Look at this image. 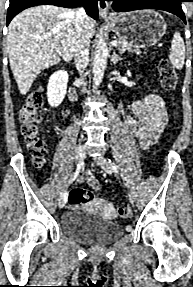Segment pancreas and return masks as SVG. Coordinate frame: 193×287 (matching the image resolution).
I'll return each instance as SVG.
<instances>
[{
    "label": "pancreas",
    "instance_id": "obj_1",
    "mask_svg": "<svg viewBox=\"0 0 193 287\" xmlns=\"http://www.w3.org/2000/svg\"><path fill=\"white\" fill-rule=\"evenodd\" d=\"M116 41L118 43L116 48L120 53H124L125 51H129V52H134L136 54H141V51L139 49H135L129 43H127L124 39H117Z\"/></svg>",
    "mask_w": 193,
    "mask_h": 287
}]
</instances>
